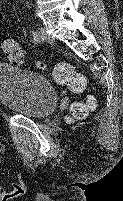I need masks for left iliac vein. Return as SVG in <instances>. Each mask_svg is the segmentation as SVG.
<instances>
[{
  "mask_svg": "<svg viewBox=\"0 0 123 201\" xmlns=\"http://www.w3.org/2000/svg\"><path fill=\"white\" fill-rule=\"evenodd\" d=\"M38 33H39V42L42 41H46L48 43L54 42V39L46 33L44 28H41Z\"/></svg>",
  "mask_w": 123,
  "mask_h": 201,
  "instance_id": "1",
  "label": "left iliac vein"
}]
</instances>
